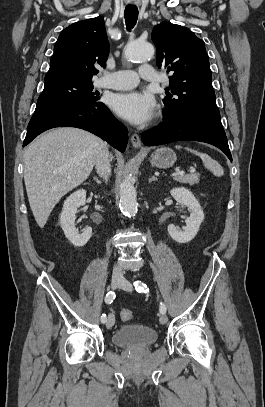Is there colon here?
<instances>
[{
	"label": "colon",
	"mask_w": 265,
	"mask_h": 407,
	"mask_svg": "<svg viewBox=\"0 0 265 407\" xmlns=\"http://www.w3.org/2000/svg\"><path fill=\"white\" fill-rule=\"evenodd\" d=\"M120 318L122 321L128 322L132 321L134 318L133 312L129 309H123L120 312Z\"/></svg>",
	"instance_id": "colon-1"
}]
</instances>
